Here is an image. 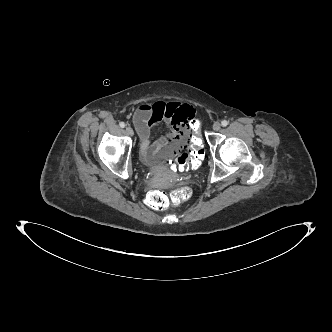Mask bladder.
Segmentation results:
<instances>
[{"label":"bladder","instance_id":"1","mask_svg":"<svg viewBox=\"0 0 332 332\" xmlns=\"http://www.w3.org/2000/svg\"><path fill=\"white\" fill-rule=\"evenodd\" d=\"M143 161L146 165L150 166V167H157L159 166L160 163L158 162H153V161H148L145 158H143Z\"/></svg>","mask_w":332,"mask_h":332}]
</instances>
